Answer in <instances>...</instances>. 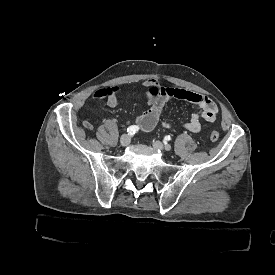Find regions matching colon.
Wrapping results in <instances>:
<instances>
[{
	"label": "colon",
	"mask_w": 275,
	"mask_h": 275,
	"mask_svg": "<svg viewBox=\"0 0 275 275\" xmlns=\"http://www.w3.org/2000/svg\"><path fill=\"white\" fill-rule=\"evenodd\" d=\"M158 92H159V87L157 85H151L149 87V94L151 96H156L158 94ZM83 125L87 129H91L92 128V125L89 122H87V121H85L83 123ZM210 139H211L212 142L218 141V139H219V133L217 131H212L211 134H210Z\"/></svg>",
	"instance_id": "colon-1"
}]
</instances>
